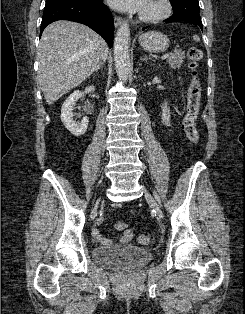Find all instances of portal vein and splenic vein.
<instances>
[{
	"label": "portal vein and splenic vein",
	"mask_w": 245,
	"mask_h": 314,
	"mask_svg": "<svg viewBox=\"0 0 245 314\" xmlns=\"http://www.w3.org/2000/svg\"><path fill=\"white\" fill-rule=\"evenodd\" d=\"M169 57V53H166V54H164L162 57H161V59H166V58H168Z\"/></svg>",
	"instance_id": "obj_1"
}]
</instances>
